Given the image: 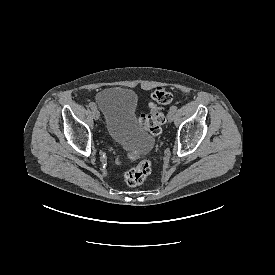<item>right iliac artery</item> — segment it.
Wrapping results in <instances>:
<instances>
[{"mask_svg": "<svg viewBox=\"0 0 275 275\" xmlns=\"http://www.w3.org/2000/svg\"><path fill=\"white\" fill-rule=\"evenodd\" d=\"M89 107H90L91 109H94V108H96V105H95V103L91 102V103H89Z\"/></svg>", "mask_w": 275, "mask_h": 275, "instance_id": "1", "label": "right iliac artery"}]
</instances>
